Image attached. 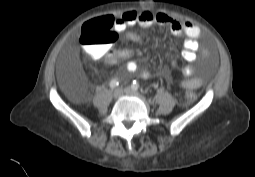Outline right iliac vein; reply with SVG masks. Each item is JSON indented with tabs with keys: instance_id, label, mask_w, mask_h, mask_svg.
<instances>
[{
	"instance_id": "1",
	"label": "right iliac vein",
	"mask_w": 255,
	"mask_h": 177,
	"mask_svg": "<svg viewBox=\"0 0 255 177\" xmlns=\"http://www.w3.org/2000/svg\"><path fill=\"white\" fill-rule=\"evenodd\" d=\"M122 95H123V90H122L121 88H117V89H115L114 92H113V97H114L115 99L120 98Z\"/></svg>"
}]
</instances>
